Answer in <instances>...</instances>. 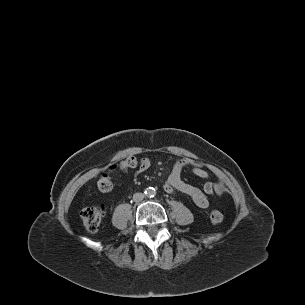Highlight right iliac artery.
<instances>
[{
  "label": "right iliac artery",
  "instance_id": "right-iliac-artery-1",
  "mask_svg": "<svg viewBox=\"0 0 305 305\" xmlns=\"http://www.w3.org/2000/svg\"><path fill=\"white\" fill-rule=\"evenodd\" d=\"M146 195H149V192H148V190H145V192H144Z\"/></svg>",
  "mask_w": 305,
  "mask_h": 305
}]
</instances>
